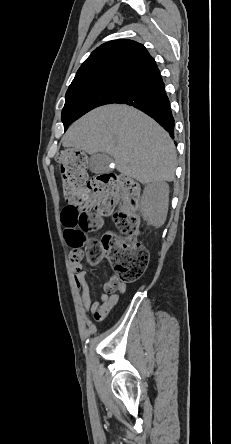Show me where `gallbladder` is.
<instances>
[{"label":"gallbladder","mask_w":231,"mask_h":444,"mask_svg":"<svg viewBox=\"0 0 231 444\" xmlns=\"http://www.w3.org/2000/svg\"><path fill=\"white\" fill-rule=\"evenodd\" d=\"M112 159L105 153L91 155L89 168L93 173L101 174L110 171L109 164Z\"/></svg>","instance_id":"gallbladder-1"}]
</instances>
